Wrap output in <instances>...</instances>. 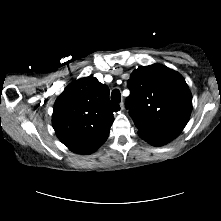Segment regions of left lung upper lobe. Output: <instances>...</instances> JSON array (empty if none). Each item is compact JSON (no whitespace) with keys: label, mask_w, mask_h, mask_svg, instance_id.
<instances>
[{"label":"left lung upper lobe","mask_w":221,"mask_h":221,"mask_svg":"<svg viewBox=\"0 0 221 221\" xmlns=\"http://www.w3.org/2000/svg\"><path fill=\"white\" fill-rule=\"evenodd\" d=\"M127 86L131 91L126 107L139 131L174 139L186 126L192 96L184 78L160 64L134 70Z\"/></svg>","instance_id":"left-lung-upper-lobe-1"}]
</instances>
